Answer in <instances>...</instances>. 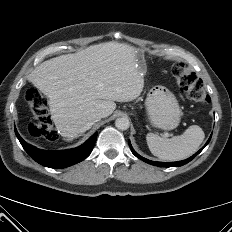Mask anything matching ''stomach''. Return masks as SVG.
Listing matches in <instances>:
<instances>
[{
    "label": "stomach",
    "mask_w": 232,
    "mask_h": 232,
    "mask_svg": "<svg viewBox=\"0 0 232 232\" xmlns=\"http://www.w3.org/2000/svg\"><path fill=\"white\" fill-rule=\"evenodd\" d=\"M148 119L153 127L172 130L179 125L182 112L174 94L167 88H152L145 101Z\"/></svg>",
    "instance_id": "1"
}]
</instances>
